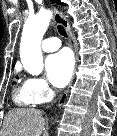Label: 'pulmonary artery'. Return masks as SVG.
<instances>
[{
    "mask_svg": "<svg viewBox=\"0 0 117 136\" xmlns=\"http://www.w3.org/2000/svg\"><path fill=\"white\" fill-rule=\"evenodd\" d=\"M61 46V41L57 37H49L43 40L41 48L45 52H52Z\"/></svg>",
    "mask_w": 117,
    "mask_h": 136,
    "instance_id": "obj_1",
    "label": "pulmonary artery"
}]
</instances>
